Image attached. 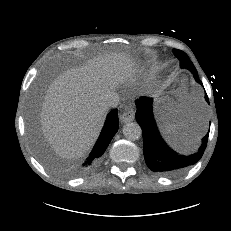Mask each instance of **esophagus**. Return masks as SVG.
Segmentation results:
<instances>
[{
	"mask_svg": "<svg viewBox=\"0 0 231 231\" xmlns=\"http://www.w3.org/2000/svg\"><path fill=\"white\" fill-rule=\"evenodd\" d=\"M134 118L135 113L132 109H125L119 116L120 122L123 124L132 122Z\"/></svg>",
	"mask_w": 231,
	"mask_h": 231,
	"instance_id": "esophagus-1",
	"label": "esophagus"
}]
</instances>
